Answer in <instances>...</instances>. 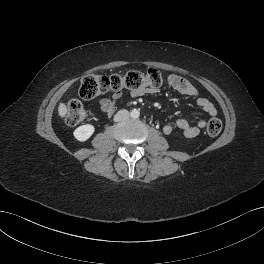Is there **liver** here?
Instances as JSON below:
<instances>
[{
	"instance_id": "liver-1",
	"label": "liver",
	"mask_w": 264,
	"mask_h": 264,
	"mask_svg": "<svg viewBox=\"0 0 264 264\" xmlns=\"http://www.w3.org/2000/svg\"><path fill=\"white\" fill-rule=\"evenodd\" d=\"M68 113V108L65 103H60L58 106V114L60 117L64 118Z\"/></svg>"
}]
</instances>
